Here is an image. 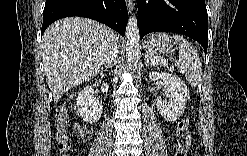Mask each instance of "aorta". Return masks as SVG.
<instances>
[{
	"instance_id": "aorta-1",
	"label": "aorta",
	"mask_w": 247,
	"mask_h": 156,
	"mask_svg": "<svg viewBox=\"0 0 247 156\" xmlns=\"http://www.w3.org/2000/svg\"><path fill=\"white\" fill-rule=\"evenodd\" d=\"M139 55V29L135 14L129 17L126 27V61L129 67L136 68Z\"/></svg>"
}]
</instances>
